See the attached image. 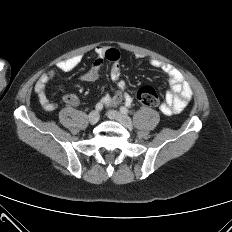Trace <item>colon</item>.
Returning a JSON list of instances; mask_svg holds the SVG:
<instances>
[{"mask_svg": "<svg viewBox=\"0 0 232 232\" xmlns=\"http://www.w3.org/2000/svg\"><path fill=\"white\" fill-rule=\"evenodd\" d=\"M137 100L145 106L154 107L158 104L157 91L151 86H143L136 93Z\"/></svg>", "mask_w": 232, "mask_h": 232, "instance_id": "obj_1", "label": "colon"}]
</instances>
